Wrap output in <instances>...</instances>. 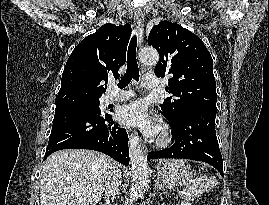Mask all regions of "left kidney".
<instances>
[{
	"mask_svg": "<svg viewBox=\"0 0 269 205\" xmlns=\"http://www.w3.org/2000/svg\"><path fill=\"white\" fill-rule=\"evenodd\" d=\"M181 205H191V204L188 202H181Z\"/></svg>",
	"mask_w": 269,
	"mask_h": 205,
	"instance_id": "5707ae66",
	"label": "left kidney"
}]
</instances>
